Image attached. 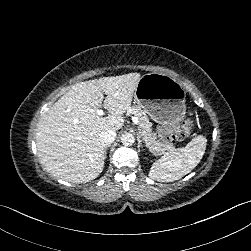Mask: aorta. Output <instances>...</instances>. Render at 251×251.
<instances>
[{
    "label": "aorta",
    "mask_w": 251,
    "mask_h": 251,
    "mask_svg": "<svg viewBox=\"0 0 251 251\" xmlns=\"http://www.w3.org/2000/svg\"><path fill=\"white\" fill-rule=\"evenodd\" d=\"M121 143L124 146H130L135 142V138L134 135L131 133H124L121 135Z\"/></svg>",
    "instance_id": "1"
}]
</instances>
